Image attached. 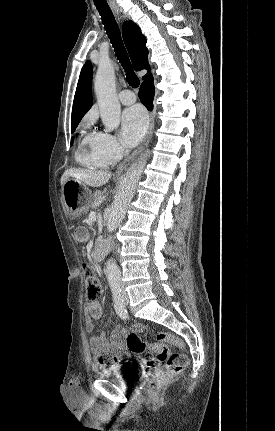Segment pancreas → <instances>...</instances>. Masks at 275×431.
Returning a JSON list of instances; mask_svg holds the SVG:
<instances>
[{"instance_id":"1","label":"pancreas","mask_w":275,"mask_h":431,"mask_svg":"<svg viewBox=\"0 0 275 431\" xmlns=\"http://www.w3.org/2000/svg\"><path fill=\"white\" fill-rule=\"evenodd\" d=\"M102 196H103V193L101 192V191H97L95 194H94V199H93V202H92V204H91V208H95L96 206H98V204L101 202V200H102Z\"/></svg>"}]
</instances>
